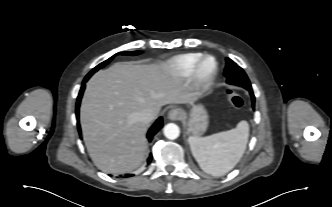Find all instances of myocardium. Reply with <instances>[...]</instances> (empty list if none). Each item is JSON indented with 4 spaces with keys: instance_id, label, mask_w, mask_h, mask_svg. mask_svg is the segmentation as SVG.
I'll use <instances>...</instances> for the list:
<instances>
[{
    "instance_id": "f54148a6",
    "label": "myocardium",
    "mask_w": 332,
    "mask_h": 207,
    "mask_svg": "<svg viewBox=\"0 0 332 207\" xmlns=\"http://www.w3.org/2000/svg\"><path fill=\"white\" fill-rule=\"evenodd\" d=\"M208 60L212 61V68L209 72L205 73L203 72L202 67ZM218 68V62L215 57L211 55L201 56L191 71V81L193 86L200 91L207 90L213 84L218 73Z\"/></svg>"
}]
</instances>
